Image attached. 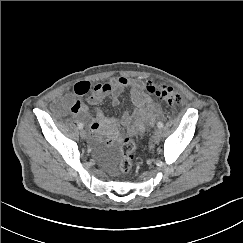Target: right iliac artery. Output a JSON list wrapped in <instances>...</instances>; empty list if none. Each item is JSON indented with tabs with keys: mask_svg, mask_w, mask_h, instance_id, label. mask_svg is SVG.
Here are the masks:
<instances>
[{
	"mask_svg": "<svg viewBox=\"0 0 243 243\" xmlns=\"http://www.w3.org/2000/svg\"><path fill=\"white\" fill-rule=\"evenodd\" d=\"M78 128H79V129H82V128H83V124H82V123H79V124H78Z\"/></svg>",
	"mask_w": 243,
	"mask_h": 243,
	"instance_id": "82829eb1",
	"label": "right iliac artery"
}]
</instances>
